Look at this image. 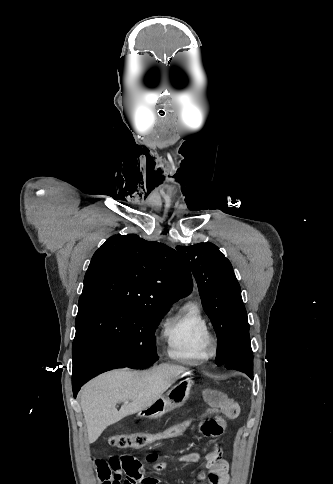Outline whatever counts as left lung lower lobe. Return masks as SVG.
I'll list each match as a JSON object with an SVG mask.
<instances>
[{"label":"left lung lower lobe","mask_w":333,"mask_h":484,"mask_svg":"<svg viewBox=\"0 0 333 484\" xmlns=\"http://www.w3.org/2000/svg\"><path fill=\"white\" fill-rule=\"evenodd\" d=\"M240 363L245 367L247 375L253 379V353L249 339V329L245 330L233 343L229 351L227 365Z\"/></svg>","instance_id":"obj_1"}]
</instances>
